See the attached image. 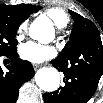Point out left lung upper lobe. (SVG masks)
<instances>
[{
  "instance_id": "5c2ea615",
  "label": "left lung upper lobe",
  "mask_w": 103,
  "mask_h": 103,
  "mask_svg": "<svg viewBox=\"0 0 103 103\" xmlns=\"http://www.w3.org/2000/svg\"><path fill=\"white\" fill-rule=\"evenodd\" d=\"M70 14L74 19L72 33L70 36V40L67 42L59 56H68L74 51H80V49H82V46L85 43V38L88 35H100L98 28L92 21L84 18L83 16L74 11H70ZM82 54V56L91 55L90 51L85 52L84 50L82 51Z\"/></svg>"
}]
</instances>
